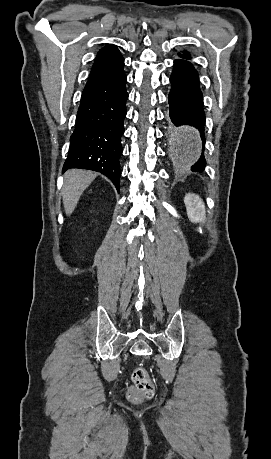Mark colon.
Returning a JSON list of instances; mask_svg holds the SVG:
<instances>
[{
  "label": "colon",
  "instance_id": "1",
  "mask_svg": "<svg viewBox=\"0 0 271 459\" xmlns=\"http://www.w3.org/2000/svg\"><path fill=\"white\" fill-rule=\"evenodd\" d=\"M131 378L133 385L127 391L129 400L138 402L154 395V385L144 367L137 366L133 370Z\"/></svg>",
  "mask_w": 271,
  "mask_h": 459
}]
</instances>
